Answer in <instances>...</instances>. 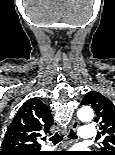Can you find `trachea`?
Here are the masks:
<instances>
[{
    "mask_svg": "<svg viewBox=\"0 0 115 155\" xmlns=\"http://www.w3.org/2000/svg\"><path fill=\"white\" fill-rule=\"evenodd\" d=\"M68 137L70 139H77V135L75 134L74 131H70ZM63 139V136L62 135H59L58 133H56L55 135H53L52 137L49 138V140L54 144L56 145L57 143H59L60 141H62Z\"/></svg>",
    "mask_w": 115,
    "mask_h": 155,
    "instance_id": "obj_1",
    "label": "trachea"
}]
</instances>
